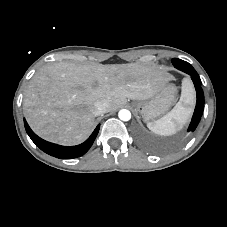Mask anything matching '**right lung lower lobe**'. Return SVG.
<instances>
[{"label":"right lung lower lobe","mask_w":227,"mask_h":227,"mask_svg":"<svg viewBox=\"0 0 227 227\" xmlns=\"http://www.w3.org/2000/svg\"><path fill=\"white\" fill-rule=\"evenodd\" d=\"M24 125L27 134L31 140L45 153L60 158V159H72L84 155L92 146L98 132L100 125L96 127L91 136L82 144L77 146H61L47 142L40 137H38L29 127L28 123L24 119Z\"/></svg>","instance_id":"right-lung-lower-lobe-1"}]
</instances>
